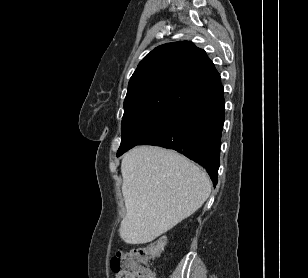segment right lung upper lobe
<instances>
[{
    "mask_svg": "<svg viewBox=\"0 0 308 278\" xmlns=\"http://www.w3.org/2000/svg\"><path fill=\"white\" fill-rule=\"evenodd\" d=\"M222 88L221 78L206 52L192 42L158 46L133 73L122 119L148 111H180Z\"/></svg>",
    "mask_w": 308,
    "mask_h": 278,
    "instance_id": "cb5924a9",
    "label": "right lung upper lobe"
}]
</instances>
